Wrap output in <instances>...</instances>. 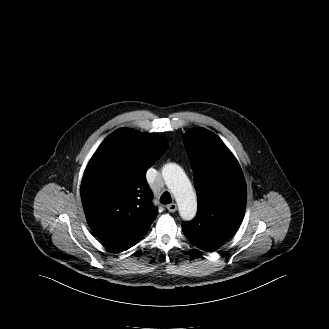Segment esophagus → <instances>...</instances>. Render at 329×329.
<instances>
[{
	"label": "esophagus",
	"mask_w": 329,
	"mask_h": 329,
	"mask_svg": "<svg viewBox=\"0 0 329 329\" xmlns=\"http://www.w3.org/2000/svg\"><path fill=\"white\" fill-rule=\"evenodd\" d=\"M167 210L169 212H175L177 210V205L175 203L169 204L166 206Z\"/></svg>",
	"instance_id": "34e87169"
}]
</instances>
